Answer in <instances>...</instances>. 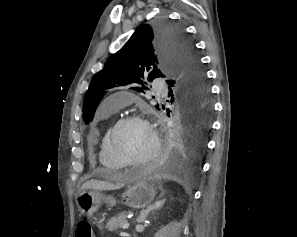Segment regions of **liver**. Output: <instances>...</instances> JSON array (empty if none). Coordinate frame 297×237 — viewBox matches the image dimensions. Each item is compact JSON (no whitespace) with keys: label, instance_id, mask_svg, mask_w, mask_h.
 <instances>
[{"label":"liver","instance_id":"liver-1","mask_svg":"<svg viewBox=\"0 0 297 237\" xmlns=\"http://www.w3.org/2000/svg\"><path fill=\"white\" fill-rule=\"evenodd\" d=\"M119 185H115L109 182L100 181V180H89L85 182L81 190L93 189V190H116L119 189Z\"/></svg>","mask_w":297,"mask_h":237}]
</instances>
